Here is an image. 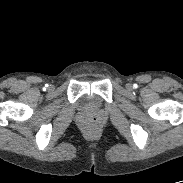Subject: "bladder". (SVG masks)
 <instances>
[{
  "label": "bladder",
  "mask_w": 183,
  "mask_h": 183,
  "mask_svg": "<svg viewBox=\"0 0 183 183\" xmlns=\"http://www.w3.org/2000/svg\"><path fill=\"white\" fill-rule=\"evenodd\" d=\"M96 100V97L92 94H84L82 97H81V103L83 105H89V104H92L94 103V101Z\"/></svg>",
  "instance_id": "31cf9c89"
}]
</instances>
